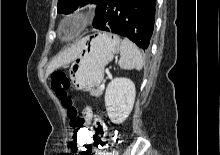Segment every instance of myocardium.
<instances>
[{
  "label": "myocardium",
  "instance_id": "obj_1",
  "mask_svg": "<svg viewBox=\"0 0 220 155\" xmlns=\"http://www.w3.org/2000/svg\"><path fill=\"white\" fill-rule=\"evenodd\" d=\"M85 21L83 14H75L65 16L58 25V31L66 34L71 33L79 29Z\"/></svg>",
  "mask_w": 220,
  "mask_h": 155
}]
</instances>
